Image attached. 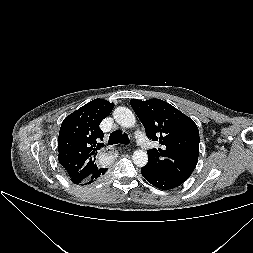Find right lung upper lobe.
I'll list each match as a JSON object with an SVG mask.
<instances>
[{
    "mask_svg": "<svg viewBox=\"0 0 253 253\" xmlns=\"http://www.w3.org/2000/svg\"><path fill=\"white\" fill-rule=\"evenodd\" d=\"M113 108L114 103L95 99L68 115L62 122L58 159L73 183H85L94 174L104 170L95 162L97 151L104 147L101 143L104 134L99 124Z\"/></svg>",
    "mask_w": 253,
    "mask_h": 253,
    "instance_id": "obj_1",
    "label": "right lung upper lobe"
}]
</instances>
